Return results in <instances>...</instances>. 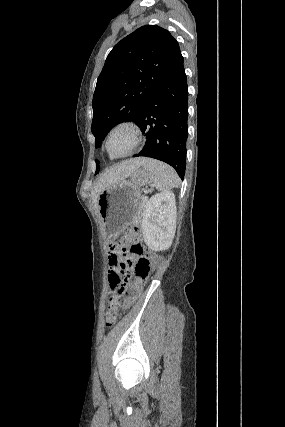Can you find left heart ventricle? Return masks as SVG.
Masks as SVG:
<instances>
[{
    "instance_id": "b2bd125f",
    "label": "left heart ventricle",
    "mask_w": 285,
    "mask_h": 427,
    "mask_svg": "<svg viewBox=\"0 0 285 427\" xmlns=\"http://www.w3.org/2000/svg\"><path fill=\"white\" fill-rule=\"evenodd\" d=\"M133 135L128 129L116 130L109 138L108 146L111 152L120 154L128 151L133 144Z\"/></svg>"
}]
</instances>
